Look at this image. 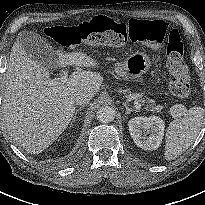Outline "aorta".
Wrapping results in <instances>:
<instances>
[{
    "mask_svg": "<svg viewBox=\"0 0 205 205\" xmlns=\"http://www.w3.org/2000/svg\"><path fill=\"white\" fill-rule=\"evenodd\" d=\"M96 116L99 122L109 123L115 118V110L109 106L101 107L98 109Z\"/></svg>",
    "mask_w": 205,
    "mask_h": 205,
    "instance_id": "aorta-1",
    "label": "aorta"
}]
</instances>
